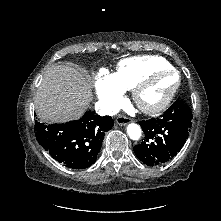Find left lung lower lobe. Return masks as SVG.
<instances>
[{"label": "left lung lower lobe", "instance_id": "0a47b994", "mask_svg": "<svg viewBox=\"0 0 221 221\" xmlns=\"http://www.w3.org/2000/svg\"><path fill=\"white\" fill-rule=\"evenodd\" d=\"M190 107L175 101L160 117L140 121L145 139L134 146L136 156L146 165H161L173 158L184 146L191 128Z\"/></svg>", "mask_w": 221, "mask_h": 221}]
</instances>
